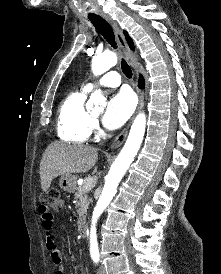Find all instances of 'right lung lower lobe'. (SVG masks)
<instances>
[{
  "label": "right lung lower lobe",
  "mask_w": 221,
  "mask_h": 274,
  "mask_svg": "<svg viewBox=\"0 0 221 274\" xmlns=\"http://www.w3.org/2000/svg\"><path fill=\"white\" fill-rule=\"evenodd\" d=\"M139 87L140 88H143L144 87V84H145V82H144V79H143V77H142V75H140V77H139Z\"/></svg>",
  "instance_id": "obj_1"
}]
</instances>
